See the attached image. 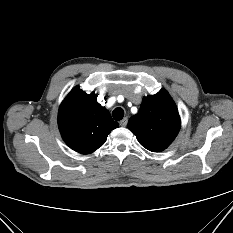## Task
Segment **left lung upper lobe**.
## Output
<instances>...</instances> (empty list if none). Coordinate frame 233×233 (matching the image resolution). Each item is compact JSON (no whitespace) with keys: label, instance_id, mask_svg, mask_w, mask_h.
Returning a JSON list of instances; mask_svg holds the SVG:
<instances>
[{"label":"left lung upper lobe","instance_id":"1","mask_svg":"<svg viewBox=\"0 0 233 233\" xmlns=\"http://www.w3.org/2000/svg\"><path fill=\"white\" fill-rule=\"evenodd\" d=\"M180 126L176 105L163 89L145 97L139 112L128 122V128L140 144L152 152L166 149L177 136Z\"/></svg>","mask_w":233,"mask_h":233}]
</instances>
